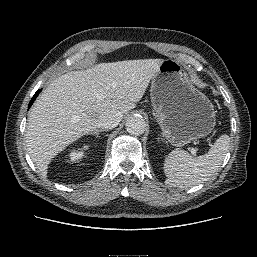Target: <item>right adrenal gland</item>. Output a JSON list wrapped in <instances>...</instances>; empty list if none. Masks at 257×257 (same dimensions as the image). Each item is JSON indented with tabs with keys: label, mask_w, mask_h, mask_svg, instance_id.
Returning <instances> with one entry per match:
<instances>
[{
	"label": "right adrenal gland",
	"mask_w": 257,
	"mask_h": 257,
	"mask_svg": "<svg viewBox=\"0 0 257 257\" xmlns=\"http://www.w3.org/2000/svg\"><path fill=\"white\" fill-rule=\"evenodd\" d=\"M105 131L104 129H95L94 131L90 132V135H95L96 138L99 136V132Z\"/></svg>",
	"instance_id": "2a0ac1e0"
}]
</instances>
